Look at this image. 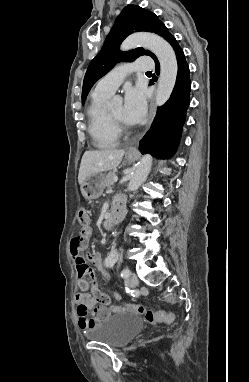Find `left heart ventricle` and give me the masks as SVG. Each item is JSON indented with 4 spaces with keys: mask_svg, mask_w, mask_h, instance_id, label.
<instances>
[{
    "mask_svg": "<svg viewBox=\"0 0 249 382\" xmlns=\"http://www.w3.org/2000/svg\"><path fill=\"white\" fill-rule=\"evenodd\" d=\"M110 114L117 120L122 121L123 123H126L123 119V107L122 105H117L113 107L111 110H109ZM127 124V123H126ZM129 125V124H128Z\"/></svg>",
    "mask_w": 249,
    "mask_h": 382,
    "instance_id": "left-heart-ventricle-1",
    "label": "left heart ventricle"
}]
</instances>
